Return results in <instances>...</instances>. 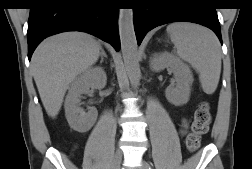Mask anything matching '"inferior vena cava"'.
I'll return each instance as SVG.
<instances>
[{"instance_id": "inferior-vena-cava-1", "label": "inferior vena cava", "mask_w": 252, "mask_h": 169, "mask_svg": "<svg viewBox=\"0 0 252 169\" xmlns=\"http://www.w3.org/2000/svg\"><path fill=\"white\" fill-rule=\"evenodd\" d=\"M117 109H119V105H117Z\"/></svg>"}]
</instances>
